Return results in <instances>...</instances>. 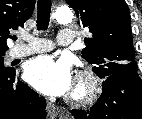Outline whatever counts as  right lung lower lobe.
<instances>
[{
  "mask_svg": "<svg viewBox=\"0 0 142 119\" xmlns=\"http://www.w3.org/2000/svg\"><path fill=\"white\" fill-rule=\"evenodd\" d=\"M46 101L19 81L12 69L0 73V119H45Z\"/></svg>",
  "mask_w": 142,
  "mask_h": 119,
  "instance_id": "1",
  "label": "right lung lower lobe"
}]
</instances>
